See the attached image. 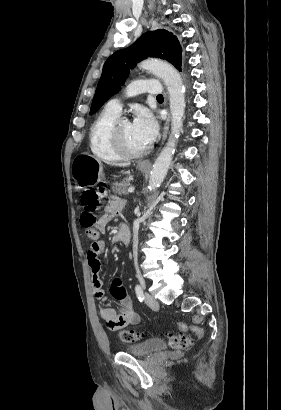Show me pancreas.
Listing matches in <instances>:
<instances>
[{
	"mask_svg": "<svg viewBox=\"0 0 281 410\" xmlns=\"http://www.w3.org/2000/svg\"><path fill=\"white\" fill-rule=\"evenodd\" d=\"M131 186L130 179L125 178L120 182H115L112 186V191L115 194L123 195L126 194L127 188Z\"/></svg>",
	"mask_w": 281,
	"mask_h": 410,
	"instance_id": "1",
	"label": "pancreas"
}]
</instances>
